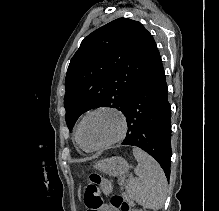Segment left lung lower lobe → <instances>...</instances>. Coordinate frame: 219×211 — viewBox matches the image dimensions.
Wrapping results in <instances>:
<instances>
[{"label": "left lung lower lobe", "mask_w": 219, "mask_h": 211, "mask_svg": "<svg viewBox=\"0 0 219 211\" xmlns=\"http://www.w3.org/2000/svg\"><path fill=\"white\" fill-rule=\"evenodd\" d=\"M161 63L154 68L130 96L124 112L128 130L123 145L141 148L150 154L170 177L171 109Z\"/></svg>", "instance_id": "0a47b994"}]
</instances>
